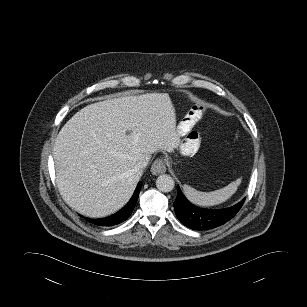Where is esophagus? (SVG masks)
Here are the masks:
<instances>
[{"label":"esophagus","instance_id":"esophagus-1","mask_svg":"<svg viewBox=\"0 0 307 307\" xmlns=\"http://www.w3.org/2000/svg\"><path fill=\"white\" fill-rule=\"evenodd\" d=\"M166 171V164L163 159H156L151 167V172L154 175L162 174Z\"/></svg>","mask_w":307,"mask_h":307}]
</instances>
